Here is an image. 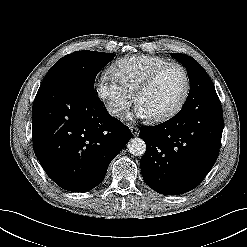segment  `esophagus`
<instances>
[{"mask_svg": "<svg viewBox=\"0 0 247 247\" xmlns=\"http://www.w3.org/2000/svg\"><path fill=\"white\" fill-rule=\"evenodd\" d=\"M129 128L134 136L138 135L139 129L137 127L130 126Z\"/></svg>", "mask_w": 247, "mask_h": 247, "instance_id": "obj_1", "label": "esophagus"}]
</instances>
